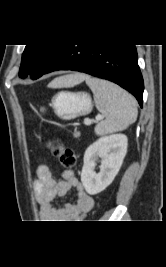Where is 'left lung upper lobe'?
Segmentation results:
<instances>
[{
	"instance_id": "obj_1",
	"label": "left lung upper lobe",
	"mask_w": 166,
	"mask_h": 267,
	"mask_svg": "<svg viewBox=\"0 0 166 267\" xmlns=\"http://www.w3.org/2000/svg\"><path fill=\"white\" fill-rule=\"evenodd\" d=\"M63 45H26L22 55L19 76L39 78Z\"/></svg>"
}]
</instances>
